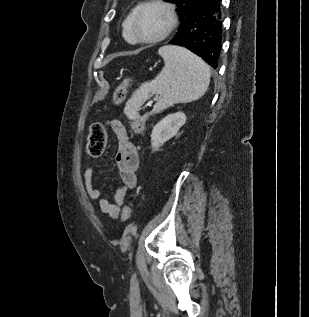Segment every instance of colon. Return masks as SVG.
<instances>
[{
    "label": "colon",
    "mask_w": 309,
    "mask_h": 317,
    "mask_svg": "<svg viewBox=\"0 0 309 317\" xmlns=\"http://www.w3.org/2000/svg\"><path fill=\"white\" fill-rule=\"evenodd\" d=\"M131 80L125 79L121 85H119L114 94L115 103H121L125 96L128 86ZM142 124L136 123V129L140 130ZM107 142V133L104 126L101 123H93L90 127L88 140H87V153L90 157H99L105 149ZM122 216L124 220H129L131 217V210L128 205H125L122 210Z\"/></svg>",
    "instance_id": "5ec220e1"
}]
</instances>
